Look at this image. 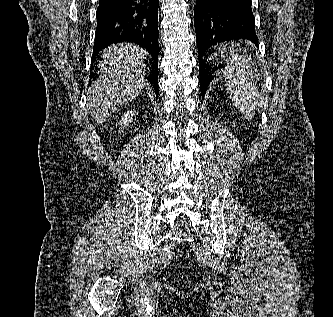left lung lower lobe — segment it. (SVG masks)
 <instances>
[{
  "mask_svg": "<svg viewBox=\"0 0 333 317\" xmlns=\"http://www.w3.org/2000/svg\"><path fill=\"white\" fill-rule=\"evenodd\" d=\"M251 0H196L194 25L200 64V90L204 98L209 84L223 67L221 54L210 47L219 43L247 39L258 46Z\"/></svg>",
  "mask_w": 333,
  "mask_h": 317,
  "instance_id": "0a47b994",
  "label": "left lung lower lobe"
}]
</instances>
